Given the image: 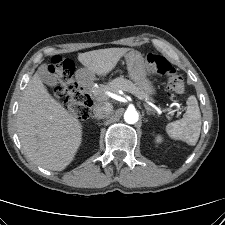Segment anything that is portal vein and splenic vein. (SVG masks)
Returning a JSON list of instances; mask_svg holds the SVG:
<instances>
[{
    "label": "portal vein and splenic vein",
    "mask_w": 225,
    "mask_h": 225,
    "mask_svg": "<svg viewBox=\"0 0 225 225\" xmlns=\"http://www.w3.org/2000/svg\"><path fill=\"white\" fill-rule=\"evenodd\" d=\"M136 97H137V96H136ZM137 98H138V99H141L140 97H137ZM162 111L164 112L165 110H162ZM179 114H180V112L177 113V115H179Z\"/></svg>",
    "instance_id": "portal-vein-and-splenic-vein-1"
}]
</instances>
